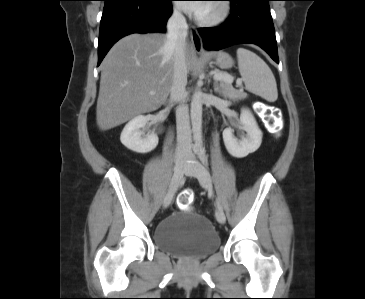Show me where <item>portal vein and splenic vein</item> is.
Listing matches in <instances>:
<instances>
[{"mask_svg": "<svg viewBox=\"0 0 365 299\" xmlns=\"http://www.w3.org/2000/svg\"><path fill=\"white\" fill-rule=\"evenodd\" d=\"M214 74V79L217 81H226L229 83H232L233 78L230 75H222V74H217V73H213ZM151 95H154V92H150Z\"/></svg>", "mask_w": 365, "mask_h": 299, "instance_id": "1", "label": "portal vein and splenic vein"}]
</instances>
